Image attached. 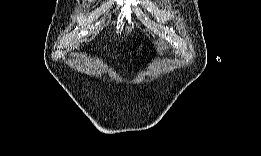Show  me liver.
<instances>
[{"mask_svg": "<svg viewBox=\"0 0 261 156\" xmlns=\"http://www.w3.org/2000/svg\"><path fill=\"white\" fill-rule=\"evenodd\" d=\"M130 31H131V29H130L129 27H127V29H126L127 34H128Z\"/></svg>", "mask_w": 261, "mask_h": 156, "instance_id": "1", "label": "liver"}]
</instances>
